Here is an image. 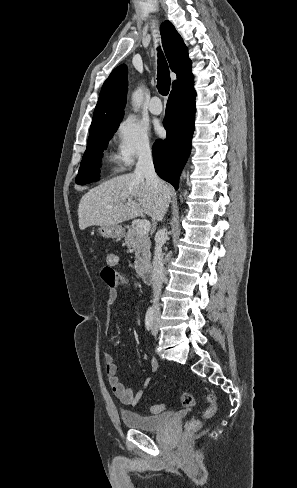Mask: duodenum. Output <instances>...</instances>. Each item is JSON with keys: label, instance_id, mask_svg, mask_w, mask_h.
<instances>
[{"label": "duodenum", "instance_id": "410a0bca", "mask_svg": "<svg viewBox=\"0 0 297 488\" xmlns=\"http://www.w3.org/2000/svg\"><path fill=\"white\" fill-rule=\"evenodd\" d=\"M138 274L145 283H151L153 281V271L149 265L140 267Z\"/></svg>", "mask_w": 297, "mask_h": 488}]
</instances>
